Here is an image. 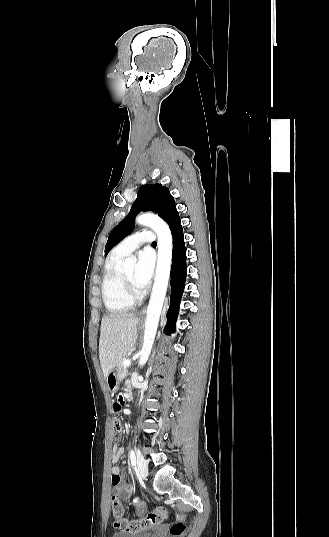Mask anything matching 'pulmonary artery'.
I'll list each match as a JSON object with an SVG mask.
<instances>
[{
	"label": "pulmonary artery",
	"mask_w": 329,
	"mask_h": 537,
	"mask_svg": "<svg viewBox=\"0 0 329 537\" xmlns=\"http://www.w3.org/2000/svg\"><path fill=\"white\" fill-rule=\"evenodd\" d=\"M155 241V234L152 231H139L132 234L122 241L113 250V253L118 256H126L145 244H152Z\"/></svg>",
	"instance_id": "1"
}]
</instances>
